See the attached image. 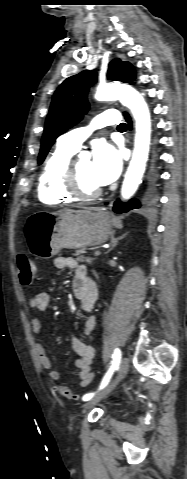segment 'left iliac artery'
I'll return each mask as SVG.
<instances>
[{"mask_svg":"<svg viewBox=\"0 0 187 479\" xmlns=\"http://www.w3.org/2000/svg\"><path fill=\"white\" fill-rule=\"evenodd\" d=\"M120 359H121V351L119 348H116L114 350V354L112 356V361H111V366L108 370V372L105 374L102 382H101V385L99 387V390L103 389L107 384L108 382L110 381L111 379V376L115 370V368L118 366L119 362H120ZM95 393H88V394H85L83 397H82V400L83 401H88L90 400L93 396H94Z\"/></svg>","mask_w":187,"mask_h":479,"instance_id":"obj_1","label":"left iliac artery"}]
</instances>
